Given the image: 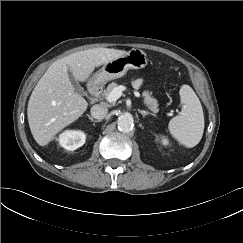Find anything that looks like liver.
Instances as JSON below:
<instances>
[{"label":"liver","mask_w":243,"mask_h":243,"mask_svg":"<svg viewBox=\"0 0 243 243\" xmlns=\"http://www.w3.org/2000/svg\"><path fill=\"white\" fill-rule=\"evenodd\" d=\"M125 53L124 50L93 48L72 53L49 66L33 89L27 107L29 127L40 146L47 145L88 107L87 101L75 92L68 70L77 81L85 82L96 67Z\"/></svg>","instance_id":"obj_1"}]
</instances>
